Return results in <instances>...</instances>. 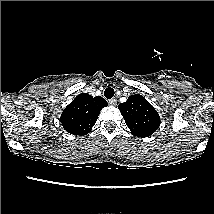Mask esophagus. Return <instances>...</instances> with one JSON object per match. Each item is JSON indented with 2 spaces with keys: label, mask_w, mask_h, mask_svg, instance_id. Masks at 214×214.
<instances>
[{
  "label": "esophagus",
  "mask_w": 214,
  "mask_h": 214,
  "mask_svg": "<svg viewBox=\"0 0 214 214\" xmlns=\"http://www.w3.org/2000/svg\"><path fill=\"white\" fill-rule=\"evenodd\" d=\"M108 102L111 105H116L117 104V100L115 98L110 99Z\"/></svg>",
  "instance_id": "esophagus-1"
}]
</instances>
